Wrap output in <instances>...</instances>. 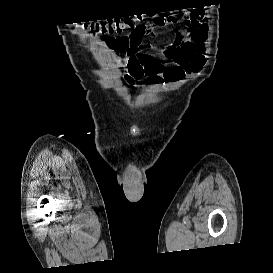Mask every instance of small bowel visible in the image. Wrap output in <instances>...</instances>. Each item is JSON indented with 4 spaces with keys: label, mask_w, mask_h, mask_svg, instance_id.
I'll return each instance as SVG.
<instances>
[{
    "label": "small bowel",
    "mask_w": 273,
    "mask_h": 273,
    "mask_svg": "<svg viewBox=\"0 0 273 273\" xmlns=\"http://www.w3.org/2000/svg\"><path fill=\"white\" fill-rule=\"evenodd\" d=\"M177 21L184 24V35L175 31L173 38L163 46L152 41L133 46L128 36H105L102 39L120 65L126 69L123 77L130 87H135L144 77H147V85L152 87L163 81L181 80L201 70L205 64L202 52L208 38V22L203 14L193 12L181 17L170 16L165 26L150 28L147 35L155 36L158 30L170 29ZM155 22L158 20L150 24ZM160 59L170 61L173 65L165 66Z\"/></svg>",
    "instance_id": "c3829d8e"
}]
</instances>
